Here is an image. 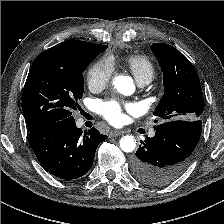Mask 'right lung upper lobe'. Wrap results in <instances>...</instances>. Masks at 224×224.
Masks as SVG:
<instances>
[{
    "instance_id": "obj_1",
    "label": "right lung upper lobe",
    "mask_w": 224,
    "mask_h": 224,
    "mask_svg": "<svg viewBox=\"0 0 224 224\" xmlns=\"http://www.w3.org/2000/svg\"><path fill=\"white\" fill-rule=\"evenodd\" d=\"M99 45L79 40H67L43 51L35 60L81 58L93 53Z\"/></svg>"
}]
</instances>
